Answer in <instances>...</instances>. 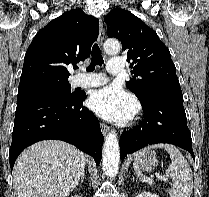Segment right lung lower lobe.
<instances>
[{"instance_id":"98d812e1","label":"right lung lower lobe","mask_w":209,"mask_h":197,"mask_svg":"<svg viewBox=\"0 0 209 197\" xmlns=\"http://www.w3.org/2000/svg\"><path fill=\"white\" fill-rule=\"evenodd\" d=\"M85 93L65 99H47L17 106L9 151L11 168L18 155L35 142L57 139L91 155L98 165L104 137L95 115L83 106Z\"/></svg>"}]
</instances>
